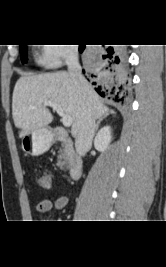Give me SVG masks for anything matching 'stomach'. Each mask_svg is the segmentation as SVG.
<instances>
[{"mask_svg": "<svg viewBox=\"0 0 166 267\" xmlns=\"http://www.w3.org/2000/svg\"><path fill=\"white\" fill-rule=\"evenodd\" d=\"M54 141V135L48 127L32 130L22 137V149L32 156H39L49 150Z\"/></svg>", "mask_w": 166, "mask_h": 267, "instance_id": "obj_1", "label": "stomach"}]
</instances>
